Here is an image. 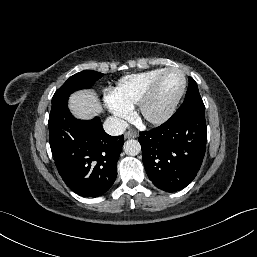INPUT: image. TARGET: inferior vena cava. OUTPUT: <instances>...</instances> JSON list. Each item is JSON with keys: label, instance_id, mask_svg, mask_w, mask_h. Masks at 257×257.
I'll use <instances>...</instances> for the list:
<instances>
[{"label": "inferior vena cava", "instance_id": "inferior-vena-cava-1", "mask_svg": "<svg viewBox=\"0 0 257 257\" xmlns=\"http://www.w3.org/2000/svg\"><path fill=\"white\" fill-rule=\"evenodd\" d=\"M103 127L107 134L112 136H118L125 132V130L128 127V124L126 121L118 117L112 116L105 120Z\"/></svg>", "mask_w": 257, "mask_h": 257}]
</instances>
